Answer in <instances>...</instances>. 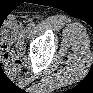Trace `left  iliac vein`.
<instances>
[{
	"label": "left iliac vein",
	"instance_id": "1",
	"mask_svg": "<svg viewBox=\"0 0 93 93\" xmlns=\"http://www.w3.org/2000/svg\"><path fill=\"white\" fill-rule=\"evenodd\" d=\"M29 30H30L29 28L24 29L25 32H23V35L26 36Z\"/></svg>",
	"mask_w": 93,
	"mask_h": 93
}]
</instances>
